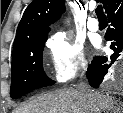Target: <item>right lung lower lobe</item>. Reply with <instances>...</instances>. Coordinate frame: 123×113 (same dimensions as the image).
Wrapping results in <instances>:
<instances>
[{
    "instance_id": "1",
    "label": "right lung lower lobe",
    "mask_w": 123,
    "mask_h": 113,
    "mask_svg": "<svg viewBox=\"0 0 123 113\" xmlns=\"http://www.w3.org/2000/svg\"><path fill=\"white\" fill-rule=\"evenodd\" d=\"M106 13L111 23L105 38L111 41L110 48L114 54L110 56L111 64L118 59L123 49V0H112ZM106 57H95L87 70L89 84L98 88L104 77L107 75L111 64H107Z\"/></svg>"
}]
</instances>
